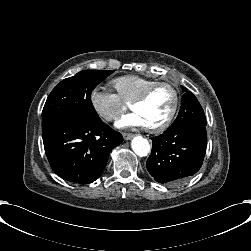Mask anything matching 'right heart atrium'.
Instances as JSON below:
<instances>
[{
    "label": "right heart atrium",
    "mask_w": 251,
    "mask_h": 251,
    "mask_svg": "<svg viewBox=\"0 0 251 251\" xmlns=\"http://www.w3.org/2000/svg\"><path fill=\"white\" fill-rule=\"evenodd\" d=\"M89 103L93 111L105 121L115 119L127 106L116 93L99 87L91 89Z\"/></svg>",
    "instance_id": "d8ad5b80"
}]
</instances>
